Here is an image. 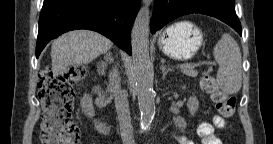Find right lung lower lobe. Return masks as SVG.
<instances>
[{
    "label": "right lung lower lobe",
    "instance_id": "1",
    "mask_svg": "<svg viewBox=\"0 0 273 144\" xmlns=\"http://www.w3.org/2000/svg\"><path fill=\"white\" fill-rule=\"evenodd\" d=\"M139 3L140 0H44L36 57L50 40L75 29L97 31L130 55V32Z\"/></svg>",
    "mask_w": 273,
    "mask_h": 144
}]
</instances>
